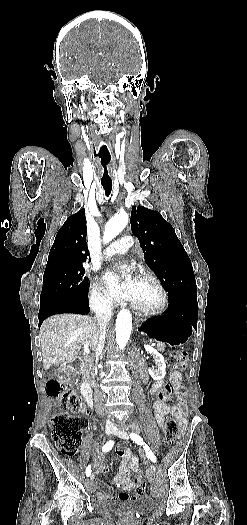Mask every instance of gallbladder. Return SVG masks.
Returning a JSON list of instances; mask_svg holds the SVG:
<instances>
[{
	"mask_svg": "<svg viewBox=\"0 0 247 525\" xmlns=\"http://www.w3.org/2000/svg\"><path fill=\"white\" fill-rule=\"evenodd\" d=\"M42 372L45 380L50 381L52 379H55V377L59 375L58 365H55V367L51 365L45 366L43 367Z\"/></svg>",
	"mask_w": 247,
	"mask_h": 525,
	"instance_id": "bac80fb5",
	"label": "gallbladder"
}]
</instances>
